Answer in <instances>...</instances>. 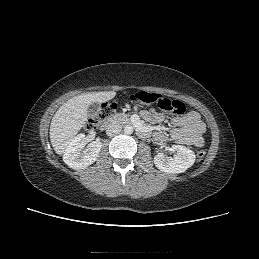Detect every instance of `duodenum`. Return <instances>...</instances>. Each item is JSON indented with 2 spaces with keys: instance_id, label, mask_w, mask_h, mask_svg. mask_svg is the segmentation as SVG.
Masks as SVG:
<instances>
[{
  "instance_id": "duodenum-1",
  "label": "duodenum",
  "mask_w": 259,
  "mask_h": 259,
  "mask_svg": "<svg viewBox=\"0 0 259 259\" xmlns=\"http://www.w3.org/2000/svg\"><path fill=\"white\" fill-rule=\"evenodd\" d=\"M115 124V119H108L104 121L101 125V130H106ZM137 133L141 137H146L148 135V130L142 126H137Z\"/></svg>"
}]
</instances>
